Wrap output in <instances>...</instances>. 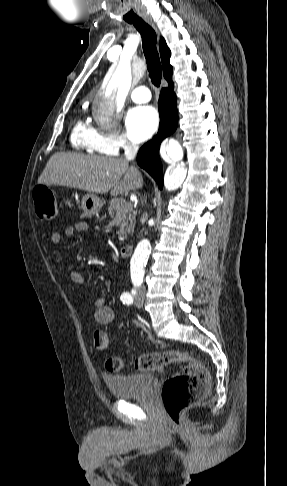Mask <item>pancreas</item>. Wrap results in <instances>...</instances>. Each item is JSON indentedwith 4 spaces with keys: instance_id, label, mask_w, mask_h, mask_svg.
Instances as JSON below:
<instances>
[{
    "instance_id": "obj_1",
    "label": "pancreas",
    "mask_w": 287,
    "mask_h": 486,
    "mask_svg": "<svg viewBox=\"0 0 287 486\" xmlns=\"http://www.w3.org/2000/svg\"><path fill=\"white\" fill-rule=\"evenodd\" d=\"M109 204L108 212L113 219L118 213H121L122 223L118 234L119 240L123 241L127 239L128 235L134 230L136 213L133 212L132 204L127 202L124 198H112Z\"/></svg>"
}]
</instances>
